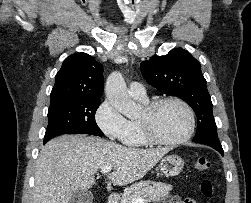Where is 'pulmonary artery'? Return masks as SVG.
Returning a JSON list of instances; mask_svg holds the SVG:
<instances>
[{"label":"pulmonary artery","mask_w":251,"mask_h":203,"mask_svg":"<svg viewBox=\"0 0 251 203\" xmlns=\"http://www.w3.org/2000/svg\"><path fill=\"white\" fill-rule=\"evenodd\" d=\"M129 95L137 100H147L146 90L144 86L136 81L130 83L128 88Z\"/></svg>","instance_id":"1"}]
</instances>
